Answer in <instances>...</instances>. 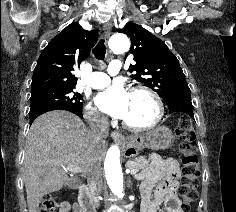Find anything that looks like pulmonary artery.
Returning <instances> with one entry per match:
<instances>
[{"instance_id": "obj_1", "label": "pulmonary artery", "mask_w": 236, "mask_h": 212, "mask_svg": "<svg viewBox=\"0 0 236 212\" xmlns=\"http://www.w3.org/2000/svg\"><path fill=\"white\" fill-rule=\"evenodd\" d=\"M121 63L118 60H115L110 63L108 67V74L103 72H93L91 74V87L93 88H103L107 86L110 82V75H116L120 72Z\"/></svg>"}]
</instances>
